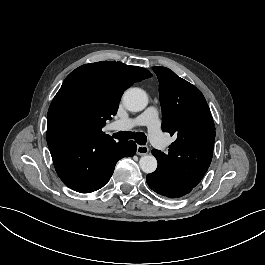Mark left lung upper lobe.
<instances>
[{
    "label": "left lung upper lobe",
    "instance_id": "5c2ea615",
    "mask_svg": "<svg viewBox=\"0 0 265 265\" xmlns=\"http://www.w3.org/2000/svg\"><path fill=\"white\" fill-rule=\"evenodd\" d=\"M159 84L162 130L175 135L167 154L152 150L159 164L193 186L207 172L215 141V125L203 94L165 67H153Z\"/></svg>",
    "mask_w": 265,
    "mask_h": 265
}]
</instances>
